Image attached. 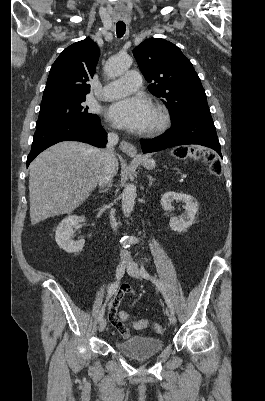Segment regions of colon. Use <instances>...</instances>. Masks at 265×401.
I'll list each match as a JSON object with an SVG mask.
<instances>
[{"label": "colon", "instance_id": "1", "mask_svg": "<svg viewBox=\"0 0 265 401\" xmlns=\"http://www.w3.org/2000/svg\"><path fill=\"white\" fill-rule=\"evenodd\" d=\"M174 156L178 159H186L189 157L199 158L201 153L190 147H180L174 151ZM205 162L209 165V171L211 174L218 176L221 173V165L217 161L216 157L212 153H205L203 155ZM110 323L119 331V333L127 338L129 331L124 325V321H129L135 329H144L149 325H152L153 329L157 333L163 332V327L158 323H150L147 320H131L130 316L125 311L109 312Z\"/></svg>", "mask_w": 265, "mask_h": 401}]
</instances>
